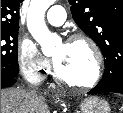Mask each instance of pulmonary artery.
Returning <instances> with one entry per match:
<instances>
[{"instance_id":"1","label":"pulmonary artery","mask_w":123,"mask_h":113,"mask_svg":"<svg viewBox=\"0 0 123 113\" xmlns=\"http://www.w3.org/2000/svg\"><path fill=\"white\" fill-rule=\"evenodd\" d=\"M46 19L52 25H62L66 20V11L60 5H53L47 11Z\"/></svg>"}]
</instances>
